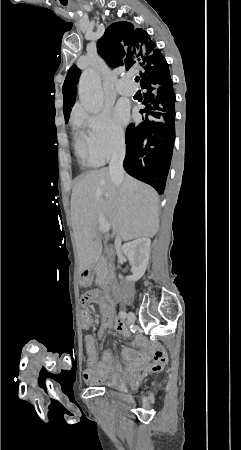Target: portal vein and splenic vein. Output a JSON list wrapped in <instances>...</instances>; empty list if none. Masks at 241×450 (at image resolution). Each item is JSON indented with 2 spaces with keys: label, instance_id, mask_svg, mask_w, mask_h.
I'll return each instance as SVG.
<instances>
[{
  "label": "portal vein and splenic vein",
  "instance_id": "portal-vein-and-splenic-vein-1",
  "mask_svg": "<svg viewBox=\"0 0 241 450\" xmlns=\"http://www.w3.org/2000/svg\"><path fill=\"white\" fill-rule=\"evenodd\" d=\"M99 228H100L101 232H109V230H110V226H109V224H107V222H100Z\"/></svg>",
  "mask_w": 241,
  "mask_h": 450
}]
</instances>
